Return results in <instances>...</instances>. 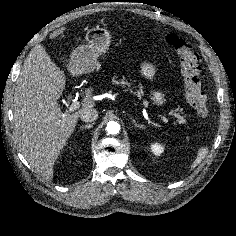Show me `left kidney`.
Here are the masks:
<instances>
[{
    "label": "left kidney",
    "mask_w": 236,
    "mask_h": 236,
    "mask_svg": "<svg viewBox=\"0 0 236 236\" xmlns=\"http://www.w3.org/2000/svg\"><path fill=\"white\" fill-rule=\"evenodd\" d=\"M151 150L156 156H160L164 152V147L159 143L151 144Z\"/></svg>",
    "instance_id": "1"
}]
</instances>
